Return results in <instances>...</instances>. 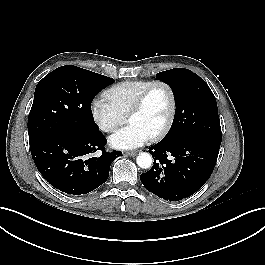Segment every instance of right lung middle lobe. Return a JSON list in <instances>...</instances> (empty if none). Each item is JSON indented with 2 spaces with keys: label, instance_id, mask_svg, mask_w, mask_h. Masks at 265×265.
<instances>
[{
  "label": "right lung middle lobe",
  "instance_id": "obj_1",
  "mask_svg": "<svg viewBox=\"0 0 265 265\" xmlns=\"http://www.w3.org/2000/svg\"><path fill=\"white\" fill-rule=\"evenodd\" d=\"M114 79L76 67L61 66L36 86L28 117L29 141L65 134L95 133L94 97Z\"/></svg>",
  "mask_w": 265,
  "mask_h": 265
}]
</instances>
